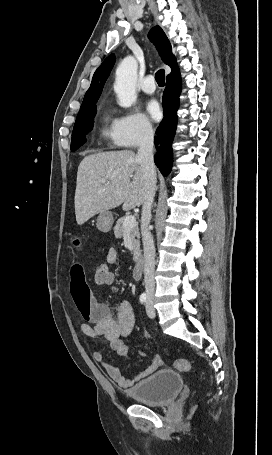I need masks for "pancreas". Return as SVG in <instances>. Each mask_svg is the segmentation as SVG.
I'll use <instances>...</instances> for the list:
<instances>
[{
    "label": "pancreas",
    "mask_w": 272,
    "mask_h": 455,
    "mask_svg": "<svg viewBox=\"0 0 272 455\" xmlns=\"http://www.w3.org/2000/svg\"><path fill=\"white\" fill-rule=\"evenodd\" d=\"M125 218H120L115 227H114V235L116 238H122L126 232V230H129L130 238L132 241V248H133V260L137 262L140 258V234H139V228L138 225H135L131 229H125L123 226Z\"/></svg>",
    "instance_id": "1"
}]
</instances>
